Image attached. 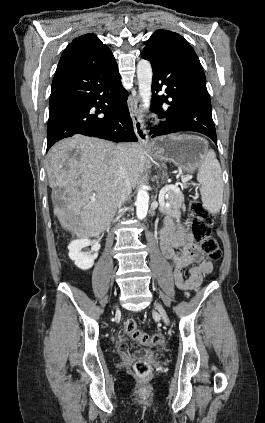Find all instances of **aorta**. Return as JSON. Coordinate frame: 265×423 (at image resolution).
Segmentation results:
<instances>
[{
    "instance_id": "762f6f07",
    "label": "aorta",
    "mask_w": 265,
    "mask_h": 423,
    "mask_svg": "<svg viewBox=\"0 0 265 423\" xmlns=\"http://www.w3.org/2000/svg\"><path fill=\"white\" fill-rule=\"evenodd\" d=\"M152 76L151 63L148 60L141 59L137 64V79L144 109H149L150 107ZM135 205L137 218L140 220L144 219L147 216L149 207V195L144 185H141L138 190Z\"/></svg>"
}]
</instances>
